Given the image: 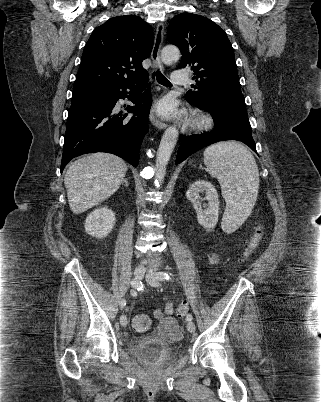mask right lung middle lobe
<instances>
[{
	"label": "right lung middle lobe",
	"mask_w": 321,
	"mask_h": 402,
	"mask_svg": "<svg viewBox=\"0 0 321 402\" xmlns=\"http://www.w3.org/2000/svg\"><path fill=\"white\" fill-rule=\"evenodd\" d=\"M99 89L100 86H94V85L74 86L72 96L97 92Z\"/></svg>",
	"instance_id": "dd1d6c3e"
}]
</instances>
